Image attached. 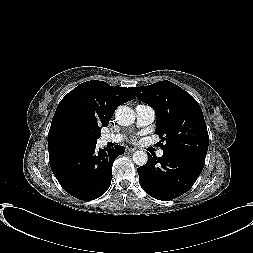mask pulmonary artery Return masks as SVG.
I'll return each mask as SVG.
<instances>
[{
  "label": "pulmonary artery",
  "mask_w": 253,
  "mask_h": 253,
  "mask_svg": "<svg viewBox=\"0 0 253 253\" xmlns=\"http://www.w3.org/2000/svg\"><path fill=\"white\" fill-rule=\"evenodd\" d=\"M135 114H136V123L140 127H145L152 124L155 120V111L154 109L145 104H138L135 107ZM124 136L122 134H104L100 138L101 144L107 143H118L123 140ZM164 154L162 149L157 151V156L162 157Z\"/></svg>",
  "instance_id": "e3ab8cb5"
}]
</instances>
